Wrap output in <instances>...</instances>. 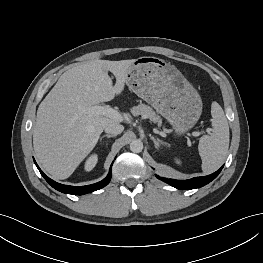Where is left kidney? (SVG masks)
Masks as SVG:
<instances>
[{
	"label": "left kidney",
	"instance_id": "obj_1",
	"mask_svg": "<svg viewBox=\"0 0 263 263\" xmlns=\"http://www.w3.org/2000/svg\"><path fill=\"white\" fill-rule=\"evenodd\" d=\"M175 162H176L177 164H181V161H180V159H178V158L175 159Z\"/></svg>",
	"mask_w": 263,
	"mask_h": 263
}]
</instances>
